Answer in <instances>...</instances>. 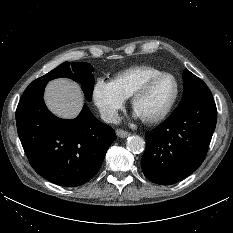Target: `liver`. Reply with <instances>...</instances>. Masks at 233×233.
<instances>
[{
	"instance_id": "obj_1",
	"label": "liver",
	"mask_w": 233,
	"mask_h": 233,
	"mask_svg": "<svg viewBox=\"0 0 233 233\" xmlns=\"http://www.w3.org/2000/svg\"><path fill=\"white\" fill-rule=\"evenodd\" d=\"M45 98L49 110L65 119L75 118L83 106V95L79 86L65 78L50 81Z\"/></svg>"
}]
</instances>
